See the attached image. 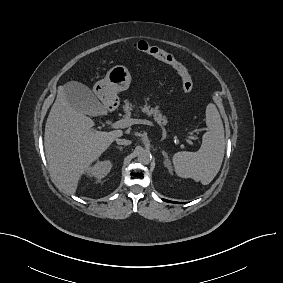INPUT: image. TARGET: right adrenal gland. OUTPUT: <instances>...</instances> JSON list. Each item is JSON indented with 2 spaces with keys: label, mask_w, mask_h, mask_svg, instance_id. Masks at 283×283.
<instances>
[{
  "label": "right adrenal gland",
  "mask_w": 283,
  "mask_h": 283,
  "mask_svg": "<svg viewBox=\"0 0 283 283\" xmlns=\"http://www.w3.org/2000/svg\"><path fill=\"white\" fill-rule=\"evenodd\" d=\"M117 149H119L120 151L123 150V147H120V146H116Z\"/></svg>",
  "instance_id": "right-adrenal-gland-1"
}]
</instances>
